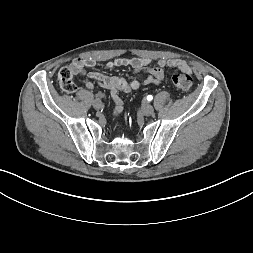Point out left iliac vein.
<instances>
[{"label": "left iliac vein", "instance_id": "obj_1", "mask_svg": "<svg viewBox=\"0 0 253 253\" xmlns=\"http://www.w3.org/2000/svg\"><path fill=\"white\" fill-rule=\"evenodd\" d=\"M142 113L145 115V116H151L153 115L154 113V108L151 104H144L142 106Z\"/></svg>", "mask_w": 253, "mask_h": 253}]
</instances>
